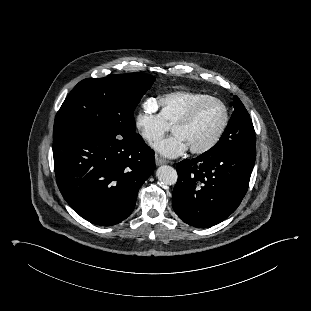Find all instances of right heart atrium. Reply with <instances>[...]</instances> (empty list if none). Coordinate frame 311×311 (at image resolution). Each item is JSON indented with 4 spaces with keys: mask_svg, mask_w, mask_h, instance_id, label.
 <instances>
[{
    "mask_svg": "<svg viewBox=\"0 0 311 311\" xmlns=\"http://www.w3.org/2000/svg\"><path fill=\"white\" fill-rule=\"evenodd\" d=\"M134 126L138 135L149 145L157 142L170 127L162 120L154 100L144 102L134 117Z\"/></svg>",
    "mask_w": 311,
    "mask_h": 311,
    "instance_id": "obj_1",
    "label": "right heart atrium"
}]
</instances>
